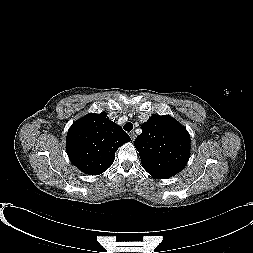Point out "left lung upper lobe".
Segmentation results:
<instances>
[{"label": "left lung upper lobe", "mask_w": 253, "mask_h": 253, "mask_svg": "<svg viewBox=\"0 0 253 253\" xmlns=\"http://www.w3.org/2000/svg\"><path fill=\"white\" fill-rule=\"evenodd\" d=\"M134 145L144 169L154 178L166 179L179 173L190 155L187 130L169 115H152L142 124Z\"/></svg>", "instance_id": "obj_1"}]
</instances>
